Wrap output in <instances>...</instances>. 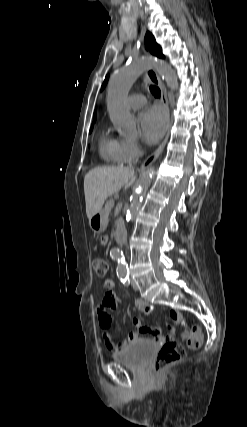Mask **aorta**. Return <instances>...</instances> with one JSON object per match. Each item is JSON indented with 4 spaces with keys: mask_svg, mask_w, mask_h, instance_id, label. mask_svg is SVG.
<instances>
[{
    "mask_svg": "<svg viewBox=\"0 0 247 427\" xmlns=\"http://www.w3.org/2000/svg\"><path fill=\"white\" fill-rule=\"evenodd\" d=\"M149 66H153L157 70L172 90H177L178 88L175 72L169 65L162 61L152 58H138L133 59L128 65L116 69L108 85L107 106L110 120L120 129L124 136L134 137L137 134L136 121L126 108L125 101L133 83ZM154 174L155 170L153 167L148 168L143 174L127 209V223L133 221L137 215ZM110 256L117 261V272L119 274H126L127 265L123 252L120 249L114 248L110 251Z\"/></svg>",
    "mask_w": 247,
    "mask_h": 427,
    "instance_id": "obj_1",
    "label": "aorta"
}]
</instances>
